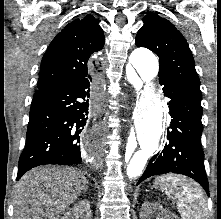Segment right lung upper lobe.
Listing matches in <instances>:
<instances>
[{"label":"right lung upper lobe","instance_id":"1","mask_svg":"<svg viewBox=\"0 0 221 219\" xmlns=\"http://www.w3.org/2000/svg\"><path fill=\"white\" fill-rule=\"evenodd\" d=\"M104 43L103 30L92 15L67 24L43 56L37 88L60 85L98 71L99 63L92 56L102 50Z\"/></svg>","mask_w":221,"mask_h":219}]
</instances>
